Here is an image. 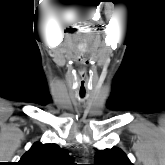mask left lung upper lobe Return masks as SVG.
<instances>
[{
  "label": "left lung upper lobe",
  "instance_id": "1",
  "mask_svg": "<svg viewBox=\"0 0 165 165\" xmlns=\"http://www.w3.org/2000/svg\"><path fill=\"white\" fill-rule=\"evenodd\" d=\"M94 165H133L119 148L98 150Z\"/></svg>",
  "mask_w": 165,
  "mask_h": 165
}]
</instances>
